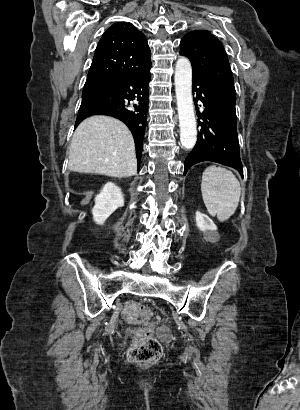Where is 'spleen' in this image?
<instances>
[{
    "instance_id": "1",
    "label": "spleen",
    "mask_w": 300,
    "mask_h": 410,
    "mask_svg": "<svg viewBox=\"0 0 300 410\" xmlns=\"http://www.w3.org/2000/svg\"><path fill=\"white\" fill-rule=\"evenodd\" d=\"M201 192L208 212L223 222L235 213L241 186L231 171L212 165L203 172Z\"/></svg>"
}]
</instances>
